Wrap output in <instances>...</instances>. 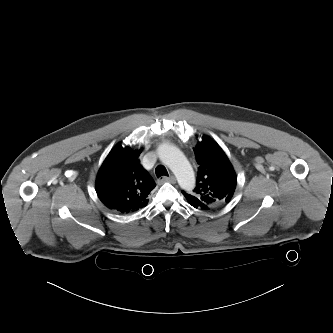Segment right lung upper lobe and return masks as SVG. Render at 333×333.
<instances>
[{
    "instance_id": "obj_1",
    "label": "right lung upper lobe",
    "mask_w": 333,
    "mask_h": 333,
    "mask_svg": "<svg viewBox=\"0 0 333 333\" xmlns=\"http://www.w3.org/2000/svg\"><path fill=\"white\" fill-rule=\"evenodd\" d=\"M142 150L119 143L108 154L96 178V192L109 209L122 214L145 207L156 184L138 159Z\"/></svg>"
}]
</instances>
